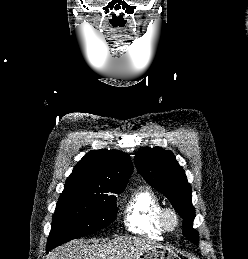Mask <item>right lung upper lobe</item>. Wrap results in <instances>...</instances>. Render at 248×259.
I'll return each mask as SVG.
<instances>
[{
	"mask_svg": "<svg viewBox=\"0 0 248 259\" xmlns=\"http://www.w3.org/2000/svg\"><path fill=\"white\" fill-rule=\"evenodd\" d=\"M132 172L128 154L118 150H93L76 164L64 189H124Z\"/></svg>",
	"mask_w": 248,
	"mask_h": 259,
	"instance_id": "cb5924a9",
	"label": "right lung upper lobe"
}]
</instances>
